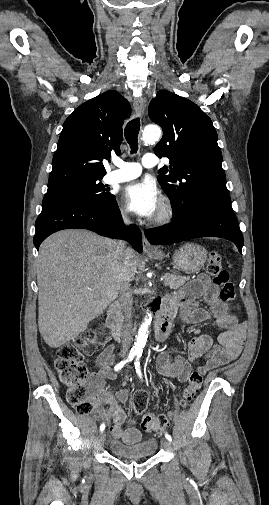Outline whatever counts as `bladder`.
<instances>
[{"label":"bladder","instance_id":"bladder-1","mask_svg":"<svg viewBox=\"0 0 269 505\" xmlns=\"http://www.w3.org/2000/svg\"><path fill=\"white\" fill-rule=\"evenodd\" d=\"M158 448L155 438H148L136 443H125L119 440H111L109 449L113 455L122 459H138L153 456Z\"/></svg>","mask_w":269,"mask_h":505}]
</instances>
